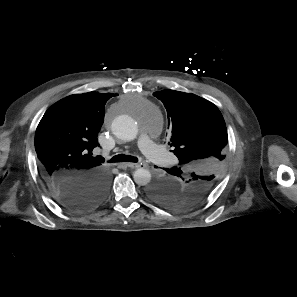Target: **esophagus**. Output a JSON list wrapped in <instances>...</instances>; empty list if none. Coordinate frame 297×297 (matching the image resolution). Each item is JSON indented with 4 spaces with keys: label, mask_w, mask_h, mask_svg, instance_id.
I'll return each instance as SVG.
<instances>
[{
    "label": "esophagus",
    "mask_w": 297,
    "mask_h": 297,
    "mask_svg": "<svg viewBox=\"0 0 297 297\" xmlns=\"http://www.w3.org/2000/svg\"><path fill=\"white\" fill-rule=\"evenodd\" d=\"M124 165L127 166V167H130V168H139V167L142 166V164H139V163H131V162H129V163H124Z\"/></svg>",
    "instance_id": "1"
}]
</instances>
